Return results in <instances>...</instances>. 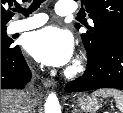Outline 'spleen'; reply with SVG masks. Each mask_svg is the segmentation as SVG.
<instances>
[{"label": "spleen", "mask_w": 123, "mask_h": 113, "mask_svg": "<svg viewBox=\"0 0 123 113\" xmlns=\"http://www.w3.org/2000/svg\"><path fill=\"white\" fill-rule=\"evenodd\" d=\"M95 97H113L116 102L117 108L123 113V92L117 89H100L93 93Z\"/></svg>", "instance_id": "3e777b00"}]
</instances>
